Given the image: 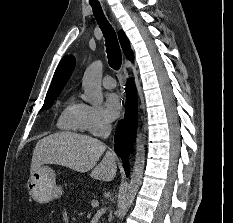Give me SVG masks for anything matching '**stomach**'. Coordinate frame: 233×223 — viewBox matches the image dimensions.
Masks as SVG:
<instances>
[{"label": "stomach", "mask_w": 233, "mask_h": 223, "mask_svg": "<svg viewBox=\"0 0 233 223\" xmlns=\"http://www.w3.org/2000/svg\"><path fill=\"white\" fill-rule=\"evenodd\" d=\"M27 189L30 197L37 203H49L63 195L62 185L56 181V173L49 165H40L34 173H31L27 181Z\"/></svg>", "instance_id": "obj_1"}]
</instances>
